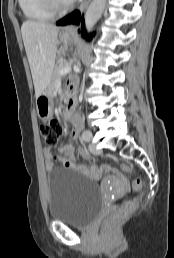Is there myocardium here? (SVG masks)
<instances>
[{"mask_svg":"<svg viewBox=\"0 0 174 258\" xmlns=\"http://www.w3.org/2000/svg\"><path fill=\"white\" fill-rule=\"evenodd\" d=\"M44 3L53 15L65 13L71 7L70 2H62L60 0H44Z\"/></svg>","mask_w":174,"mask_h":258,"instance_id":"1","label":"myocardium"}]
</instances>
